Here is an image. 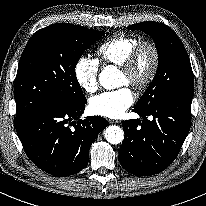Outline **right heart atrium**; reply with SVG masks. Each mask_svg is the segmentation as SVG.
Returning <instances> with one entry per match:
<instances>
[{"label": "right heart atrium", "mask_w": 206, "mask_h": 206, "mask_svg": "<svg viewBox=\"0 0 206 206\" xmlns=\"http://www.w3.org/2000/svg\"><path fill=\"white\" fill-rule=\"evenodd\" d=\"M99 63L96 59L81 56L74 67V76L78 86L86 94H93L98 88Z\"/></svg>", "instance_id": "obj_1"}]
</instances>
